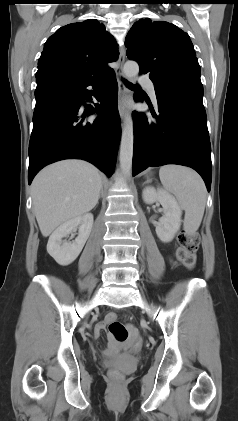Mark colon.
<instances>
[{
  "mask_svg": "<svg viewBox=\"0 0 238 421\" xmlns=\"http://www.w3.org/2000/svg\"><path fill=\"white\" fill-rule=\"evenodd\" d=\"M179 247L176 251L177 259L188 269H192L196 264V251L198 250L200 238L196 233L183 231L179 237ZM107 326L110 335L117 342L124 343L128 338V330L126 326L121 323L116 315L109 317ZM111 382L118 386L123 380V374L117 369H112L109 372Z\"/></svg>",
  "mask_w": 238,
  "mask_h": 421,
  "instance_id": "obj_1",
  "label": "colon"
}]
</instances>
